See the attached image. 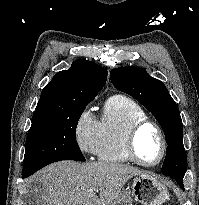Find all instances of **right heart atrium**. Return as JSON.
Instances as JSON below:
<instances>
[{
  "label": "right heart atrium",
  "instance_id": "d8ad5b80",
  "mask_svg": "<svg viewBox=\"0 0 199 205\" xmlns=\"http://www.w3.org/2000/svg\"><path fill=\"white\" fill-rule=\"evenodd\" d=\"M98 122L89 107L80 114L75 127V141L85 154H95L97 147Z\"/></svg>",
  "mask_w": 199,
  "mask_h": 205
}]
</instances>
